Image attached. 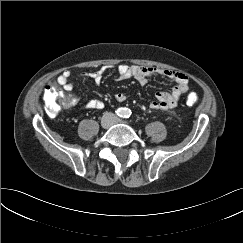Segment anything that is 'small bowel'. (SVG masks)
<instances>
[{
	"instance_id": "c3829d8e",
	"label": "small bowel",
	"mask_w": 243,
	"mask_h": 243,
	"mask_svg": "<svg viewBox=\"0 0 243 243\" xmlns=\"http://www.w3.org/2000/svg\"><path fill=\"white\" fill-rule=\"evenodd\" d=\"M115 70L118 80L135 79L140 84L145 85L152 76L162 75L175 83V86L170 92L160 91L156 93V99L150 104V108L153 110L173 109L177 106L182 95L189 90L188 77L178 71L127 64H119ZM81 76L90 78L96 84H100L103 79V70L99 69L89 73H82ZM57 84L62 86L66 91H72L74 84L71 80L70 72L66 71L62 73L57 79ZM115 98L117 101L123 102L126 96L123 93H117ZM78 101L79 98L77 96L71 97L70 106L76 105ZM84 107L86 109L99 110L104 107V102L100 99H92Z\"/></svg>"
}]
</instances>
